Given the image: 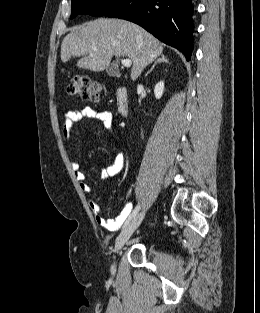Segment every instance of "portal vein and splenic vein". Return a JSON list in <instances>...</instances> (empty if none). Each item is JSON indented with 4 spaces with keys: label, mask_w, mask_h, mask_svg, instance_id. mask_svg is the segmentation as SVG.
I'll return each instance as SVG.
<instances>
[{
    "label": "portal vein and splenic vein",
    "mask_w": 260,
    "mask_h": 313,
    "mask_svg": "<svg viewBox=\"0 0 260 313\" xmlns=\"http://www.w3.org/2000/svg\"><path fill=\"white\" fill-rule=\"evenodd\" d=\"M121 63L124 67H131L132 65V61L130 59H121Z\"/></svg>",
    "instance_id": "18ae733b"
}]
</instances>
